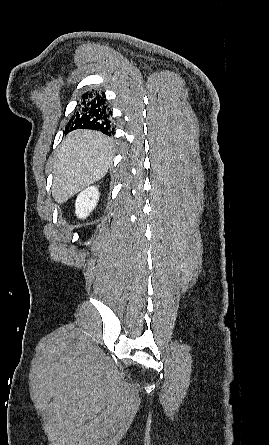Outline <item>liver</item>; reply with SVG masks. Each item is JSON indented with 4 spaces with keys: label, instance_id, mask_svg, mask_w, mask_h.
Returning a JSON list of instances; mask_svg holds the SVG:
<instances>
[{
    "label": "liver",
    "instance_id": "obj_1",
    "mask_svg": "<svg viewBox=\"0 0 269 445\" xmlns=\"http://www.w3.org/2000/svg\"><path fill=\"white\" fill-rule=\"evenodd\" d=\"M113 159L112 141L91 130L69 133L57 153L53 172L52 195L62 204L103 178Z\"/></svg>",
    "mask_w": 269,
    "mask_h": 445
}]
</instances>
